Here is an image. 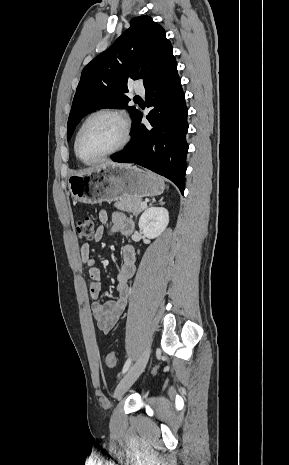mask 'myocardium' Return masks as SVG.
Here are the masks:
<instances>
[{"label":"myocardium","mask_w":289,"mask_h":465,"mask_svg":"<svg viewBox=\"0 0 289 465\" xmlns=\"http://www.w3.org/2000/svg\"><path fill=\"white\" fill-rule=\"evenodd\" d=\"M98 116H110V117H113L115 119H117L121 125H122V128H123V138H122V141L119 143L118 146H116L114 149L110 150V151H107L105 152L104 154L100 155L99 157L97 158H94V159H91V160H85L84 158L81 157L80 153H79V140H80V136L82 134V131L84 129V127L86 126V124L93 118L95 117H98ZM130 141V123H129V120L127 118V116L117 110V109H113V108H100V109H97L95 111H93L92 113H90L85 119L84 121L82 122V124L80 125L77 133H76V136H75V140H74V151H75V155L77 156V158L85 163V164H93V163H96L106 157H109L113 154H116L118 153L119 151L123 150L127 144L129 143Z\"/></svg>","instance_id":"f54148a6"}]
</instances>
